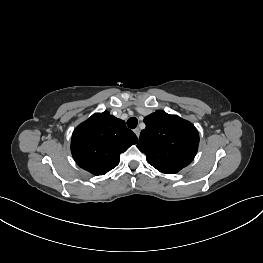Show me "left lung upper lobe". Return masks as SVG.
Wrapping results in <instances>:
<instances>
[{
  "mask_svg": "<svg viewBox=\"0 0 263 263\" xmlns=\"http://www.w3.org/2000/svg\"><path fill=\"white\" fill-rule=\"evenodd\" d=\"M138 149L158 171L173 174L191 163L199 144L197 129L189 121L164 111L145 117Z\"/></svg>",
  "mask_w": 263,
  "mask_h": 263,
  "instance_id": "1",
  "label": "left lung upper lobe"
}]
</instances>
